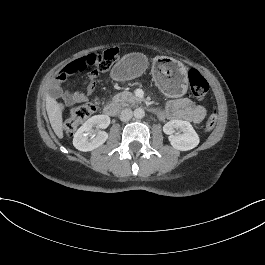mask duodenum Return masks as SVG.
<instances>
[{"label":"duodenum","instance_id":"1","mask_svg":"<svg viewBox=\"0 0 265 265\" xmlns=\"http://www.w3.org/2000/svg\"><path fill=\"white\" fill-rule=\"evenodd\" d=\"M120 111V106L116 102H109L104 106V114L110 117L116 116Z\"/></svg>","mask_w":265,"mask_h":265}]
</instances>
